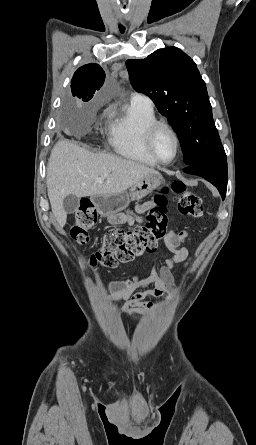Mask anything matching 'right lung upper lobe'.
I'll list each match as a JSON object with an SVG mask.
<instances>
[{"mask_svg":"<svg viewBox=\"0 0 256 445\" xmlns=\"http://www.w3.org/2000/svg\"><path fill=\"white\" fill-rule=\"evenodd\" d=\"M105 80V72L95 63L80 67L71 81L73 96L83 101H89L96 90H99Z\"/></svg>","mask_w":256,"mask_h":445,"instance_id":"right-lung-upper-lobe-1","label":"right lung upper lobe"}]
</instances>
